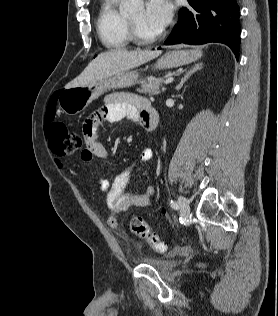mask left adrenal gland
Returning a JSON list of instances; mask_svg holds the SVG:
<instances>
[{
    "instance_id": "a2214340",
    "label": "left adrenal gland",
    "mask_w": 278,
    "mask_h": 316,
    "mask_svg": "<svg viewBox=\"0 0 278 316\" xmlns=\"http://www.w3.org/2000/svg\"><path fill=\"white\" fill-rule=\"evenodd\" d=\"M203 67V64L202 63H198V64H195L191 69H189L184 77L181 79L180 83L176 86V90H180L184 83L198 70L202 69Z\"/></svg>"
}]
</instances>
